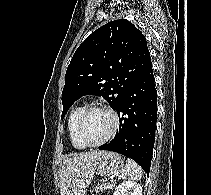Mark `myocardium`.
Wrapping results in <instances>:
<instances>
[{
	"label": "myocardium",
	"instance_id": "obj_1",
	"mask_svg": "<svg viewBox=\"0 0 211 195\" xmlns=\"http://www.w3.org/2000/svg\"><path fill=\"white\" fill-rule=\"evenodd\" d=\"M93 111H105L107 113H109L113 119V125L112 128L110 130V132L108 133V135L103 138L102 140L95 142V143H90L87 142L82 134V126L84 123V120L86 119V117ZM120 125V119L119 116L117 114V112L108 107V106H104V105H95V106H90L87 107L79 116L78 121H77V126H76V133H77V137L80 140V142L85 146V147H99L104 145L105 143H107L108 141H110L114 135L116 134L118 128Z\"/></svg>",
	"mask_w": 211,
	"mask_h": 195
}]
</instances>
